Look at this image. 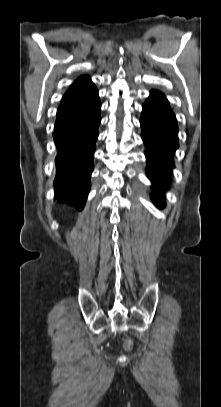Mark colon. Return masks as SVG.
I'll return each mask as SVG.
<instances>
[{
    "label": "colon",
    "mask_w": 221,
    "mask_h": 407,
    "mask_svg": "<svg viewBox=\"0 0 221 407\" xmlns=\"http://www.w3.org/2000/svg\"><path fill=\"white\" fill-rule=\"evenodd\" d=\"M132 348H133V342H132V340H131V339H126L125 342H124V349H125L126 351H131Z\"/></svg>",
    "instance_id": "obj_1"
}]
</instances>
